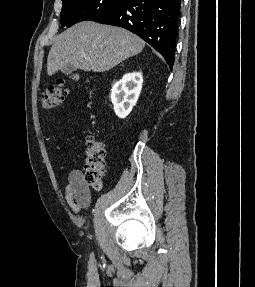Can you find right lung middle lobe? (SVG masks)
I'll return each instance as SVG.
<instances>
[{
    "instance_id": "1",
    "label": "right lung middle lobe",
    "mask_w": 255,
    "mask_h": 287,
    "mask_svg": "<svg viewBox=\"0 0 255 287\" xmlns=\"http://www.w3.org/2000/svg\"><path fill=\"white\" fill-rule=\"evenodd\" d=\"M60 21L62 26L71 27L72 25L85 21L93 20L102 12L113 8L125 0H62Z\"/></svg>"
}]
</instances>
